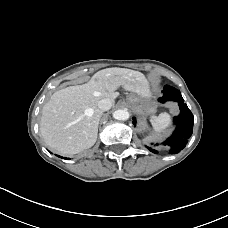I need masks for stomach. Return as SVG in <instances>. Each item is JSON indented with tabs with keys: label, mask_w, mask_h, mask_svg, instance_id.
<instances>
[{
	"label": "stomach",
	"mask_w": 228,
	"mask_h": 228,
	"mask_svg": "<svg viewBox=\"0 0 228 228\" xmlns=\"http://www.w3.org/2000/svg\"><path fill=\"white\" fill-rule=\"evenodd\" d=\"M126 104L135 109L146 108L148 112H155V108L145 103L141 96L131 94L126 98Z\"/></svg>",
	"instance_id": "obj_1"
}]
</instances>
